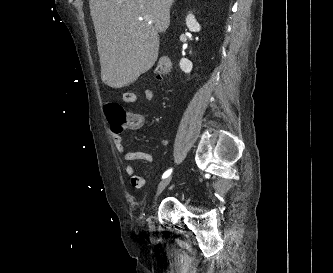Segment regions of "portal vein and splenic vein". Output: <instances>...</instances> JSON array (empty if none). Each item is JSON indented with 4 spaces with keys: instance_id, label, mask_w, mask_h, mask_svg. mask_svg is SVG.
Returning a JSON list of instances; mask_svg holds the SVG:
<instances>
[{
    "instance_id": "portal-vein-and-splenic-vein-1",
    "label": "portal vein and splenic vein",
    "mask_w": 333,
    "mask_h": 273,
    "mask_svg": "<svg viewBox=\"0 0 333 273\" xmlns=\"http://www.w3.org/2000/svg\"><path fill=\"white\" fill-rule=\"evenodd\" d=\"M146 20H148L149 21V23H152V21L150 20V18L149 17H146L145 18ZM142 20V19H141Z\"/></svg>"
}]
</instances>
